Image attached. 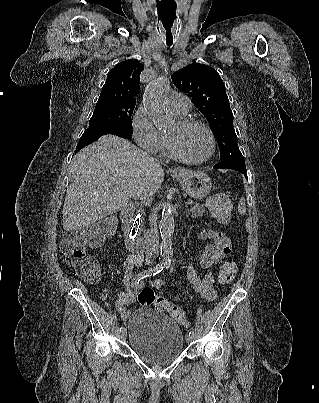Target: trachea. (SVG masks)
<instances>
[{"label": "trachea", "mask_w": 319, "mask_h": 403, "mask_svg": "<svg viewBox=\"0 0 319 403\" xmlns=\"http://www.w3.org/2000/svg\"><path fill=\"white\" fill-rule=\"evenodd\" d=\"M163 27H164L166 44L167 46H171L173 44V31H172L173 22L170 20L164 21Z\"/></svg>", "instance_id": "obj_1"}]
</instances>
